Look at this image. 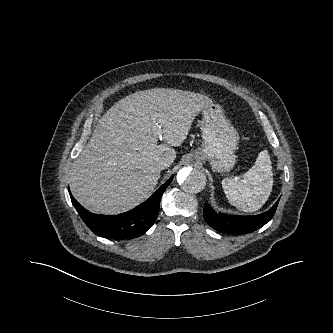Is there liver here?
I'll return each instance as SVG.
<instances>
[{"instance_id":"6515ba94","label":"liver","mask_w":333,"mask_h":333,"mask_svg":"<svg viewBox=\"0 0 333 333\" xmlns=\"http://www.w3.org/2000/svg\"><path fill=\"white\" fill-rule=\"evenodd\" d=\"M212 100L177 89L154 88L115 103L98 121L92 137L72 166L74 198L93 213L115 215L133 209L160 179L156 162L176 158L172 147L187 138L195 117ZM161 127L166 144H158Z\"/></svg>"}]
</instances>
